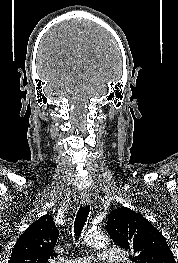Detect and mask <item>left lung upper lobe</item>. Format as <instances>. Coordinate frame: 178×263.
<instances>
[{"label":"left lung upper lobe","instance_id":"1","mask_svg":"<svg viewBox=\"0 0 178 263\" xmlns=\"http://www.w3.org/2000/svg\"><path fill=\"white\" fill-rule=\"evenodd\" d=\"M107 231L117 245L129 250L134 263H176L162 233L129 208L111 212Z\"/></svg>","mask_w":178,"mask_h":263}]
</instances>
